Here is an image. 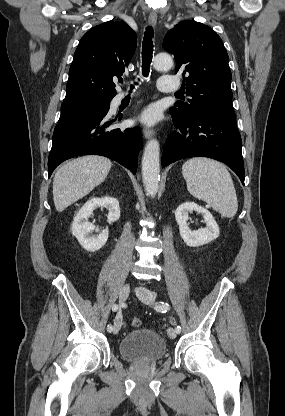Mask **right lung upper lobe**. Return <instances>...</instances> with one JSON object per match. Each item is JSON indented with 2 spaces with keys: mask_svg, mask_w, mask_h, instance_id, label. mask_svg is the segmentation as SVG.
I'll return each mask as SVG.
<instances>
[{
  "mask_svg": "<svg viewBox=\"0 0 285 416\" xmlns=\"http://www.w3.org/2000/svg\"><path fill=\"white\" fill-rule=\"evenodd\" d=\"M136 33L125 22L108 21L82 37L70 67L64 102L112 100L113 78L129 65Z\"/></svg>",
  "mask_w": 285,
  "mask_h": 416,
  "instance_id": "right-lung-upper-lobe-1",
  "label": "right lung upper lobe"
}]
</instances>
